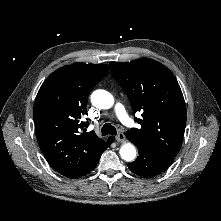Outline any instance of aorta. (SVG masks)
<instances>
[{
  "mask_svg": "<svg viewBox=\"0 0 221 221\" xmlns=\"http://www.w3.org/2000/svg\"><path fill=\"white\" fill-rule=\"evenodd\" d=\"M91 103L99 109H109L114 104L113 96L106 90H95L91 95ZM123 160L131 162L136 157V149L133 144L125 143L120 149Z\"/></svg>",
  "mask_w": 221,
  "mask_h": 221,
  "instance_id": "762f6f07",
  "label": "aorta"
}]
</instances>
